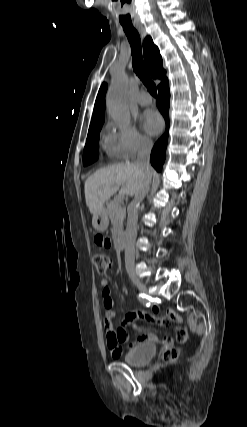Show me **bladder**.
<instances>
[{
	"instance_id": "31cf9c89",
	"label": "bladder",
	"mask_w": 247,
	"mask_h": 427,
	"mask_svg": "<svg viewBox=\"0 0 247 427\" xmlns=\"http://www.w3.org/2000/svg\"><path fill=\"white\" fill-rule=\"evenodd\" d=\"M157 351L154 343H139L133 346L124 356V361L131 366H143L149 363Z\"/></svg>"
}]
</instances>
